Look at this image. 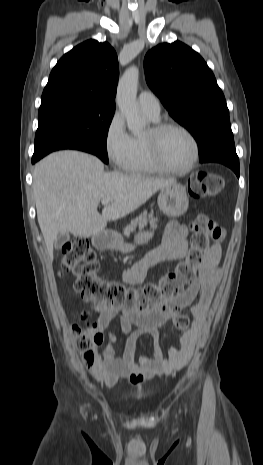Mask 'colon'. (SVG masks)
<instances>
[{
	"mask_svg": "<svg viewBox=\"0 0 263 465\" xmlns=\"http://www.w3.org/2000/svg\"><path fill=\"white\" fill-rule=\"evenodd\" d=\"M223 185L224 180L220 175L199 172L190 178L188 192L192 198L204 199L216 195ZM216 228L218 227L207 216H199L186 258L158 282L145 284L141 288L127 287L99 277L96 254L85 238H75L64 245L61 271L71 272L76 277L75 290L88 300L112 307L146 311L183 293L195 282L197 271L209 249L210 236ZM173 324L178 330L186 331L189 319L180 314L174 318ZM72 333L83 362L92 369L99 359L98 349L103 342L102 332L97 330L95 324L86 323L83 326L74 325Z\"/></svg>",
	"mask_w": 263,
	"mask_h": 465,
	"instance_id": "1",
	"label": "colon"
}]
</instances>
